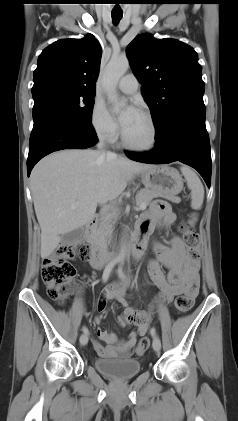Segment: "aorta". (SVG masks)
I'll return each instance as SVG.
<instances>
[{"instance_id": "aorta-1", "label": "aorta", "mask_w": 238, "mask_h": 421, "mask_svg": "<svg viewBox=\"0 0 238 421\" xmlns=\"http://www.w3.org/2000/svg\"><path fill=\"white\" fill-rule=\"evenodd\" d=\"M129 67L130 65L127 58H113L107 64L105 69V74L103 77L104 90L108 100L115 103L116 108H119L116 87L120 78L127 72ZM120 105L123 106V104ZM125 256L126 245L124 242H122L118 260L124 262Z\"/></svg>"}]
</instances>
